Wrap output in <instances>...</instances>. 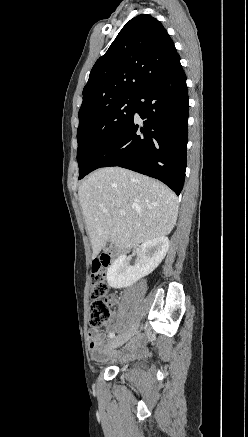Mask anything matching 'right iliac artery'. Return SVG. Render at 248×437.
<instances>
[{"instance_id": "right-iliac-artery-1", "label": "right iliac artery", "mask_w": 248, "mask_h": 437, "mask_svg": "<svg viewBox=\"0 0 248 437\" xmlns=\"http://www.w3.org/2000/svg\"><path fill=\"white\" fill-rule=\"evenodd\" d=\"M114 336H115L114 333H110V334H109V337H110V338H114Z\"/></svg>"}]
</instances>
